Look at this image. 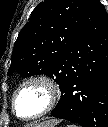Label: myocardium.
<instances>
[{"instance_id":"obj_1","label":"myocardium","mask_w":108,"mask_h":127,"mask_svg":"<svg viewBox=\"0 0 108 127\" xmlns=\"http://www.w3.org/2000/svg\"><path fill=\"white\" fill-rule=\"evenodd\" d=\"M30 85H39L44 88L47 94V103L44 106V108L38 113L31 116H21L16 109V99L20 92ZM59 95V86L51 77L45 74L32 75L23 80L15 89L11 99L12 110L14 114L22 120H35L49 113L56 106L59 99Z\"/></svg>"}]
</instances>
